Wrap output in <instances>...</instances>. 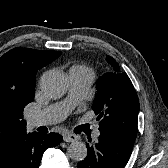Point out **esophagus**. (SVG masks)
<instances>
[{
  "label": "esophagus",
  "instance_id": "1",
  "mask_svg": "<svg viewBox=\"0 0 168 168\" xmlns=\"http://www.w3.org/2000/svg\"><path fill=\"white\" fill-rule=\"evenodd\" d=\"M63 140L65 142H74V141H77L78 140V137L74 134H65L63 136Z\"/></svg>",
  "mask_w": 168,
  "mask_h": 168
}]
</instances>
